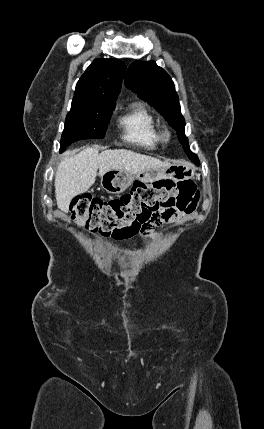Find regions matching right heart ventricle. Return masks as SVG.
Returning <instances> with one entry per match:
<instances>
[{
    "label": "right heart ventricle",
    "instance_id": "right-heart-ventricle-1",
    "mask_svg": "<svg viewBox=\"0 0 264 429\" xmlns=\"http://www.w3.org/2000/svg\"><path fill=\"white\" fill-rule=\"evenodd\" d=\"M122 137L145 148H155L161 142L158 122L143 103H134L119 118Z\"/></svg>",
    "mask_w": 264,
    "mask_h": 429
}]
</instances>
